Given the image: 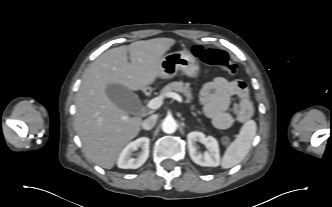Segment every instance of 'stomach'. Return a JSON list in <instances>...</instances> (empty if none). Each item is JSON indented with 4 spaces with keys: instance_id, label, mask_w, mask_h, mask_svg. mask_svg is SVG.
<instances>
[{
    "instance_id": "stomach-1",
    "label": "stomach",
    "mask_w": 332,
    "mask_h": 207,
    "mask_svg": "<svg viewBox=\"0 0 332 207\" xmlns=\"http://www.w3.org/2000/svg\"><path fill=\"white\" fill-rule=\"evenodd\" d=\"M160 74L158 77L169 79L174 77L178 71L184 75L196 79L200 73L199 62L196 57L188 51H176L168 53L160 60Z\"/></svg>"
}]
</instances>
